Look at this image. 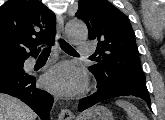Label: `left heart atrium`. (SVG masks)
Wrapping results in <instances>:
<instances>
[{
    "mask_svg": "<svg viewBox=\"0 0 165 120\" xmlns=\"http://www.w3.org/2000/svg\"><path fill=\"white\" fill-rule=\"evenodd\" d=\"M43 85L60 96H73L84 89L86 76L75 65L62 62L51 68L42 79Z\"/></svg>",
    "mask_w": 165,
    "mask_h": 120,
    "instance_id": "obj_1",
    "label": "left heart atrium"
}]
</instances>
